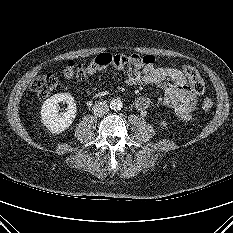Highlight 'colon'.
<instances>
[{
  "label": "colon",
  "mask_w": 233,
  "mask_h": 233,
  "mask_svg": "<svg viewBox=\"0 0 233 233\" xmlns=\"http://www.w3.org/2000/svg\"><path fill=\"white\" fill-rule=\"evenodd\" d=\"M141 62L145 65H152L155 62V58L150 55L139 56ZM115 61L114 55L101 53L96 55L88 64H80L75 62H69L62 69L61 73L68 79H84L93 74L99 69L110 66ZM188 78L189 84L195 93L201 94L205 89V84L198 73V71L192 67L186 66L183 68ZM57 77L54 73L48 72L35 77L30 87L39 97H48L57 87ZM213 107V102L210 98L206 97L202 102V108L205 112H209Z\"/></svg>",
  "instance_id": "colon-1"
}]
</instances>
